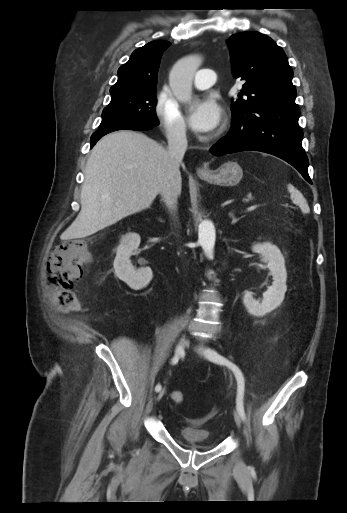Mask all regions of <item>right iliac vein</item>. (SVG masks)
I'll return each instance as SVG.
<instances>
[{
  "mask_svg": "<svg viewBox=\"0 0 347 513\" xmlns=\"http://www.w3.org/2000/svg\"><path fill=\"white\" fill-rule=\"evenodd\" d=\"M188 342H189L188 336L186 334H183L182 337H181V340H180V347L181 348H185L188 345ZM164 394H165V388H163L159 392V394L157 395V400L158 401L161 400L162 397L164 396Z\"/></svg>",
  "mask_w": 347,
  "mask_h": 513,
  "instance_id": "obj_1",
  "label": "right iliac vein"
}]
</instances>
